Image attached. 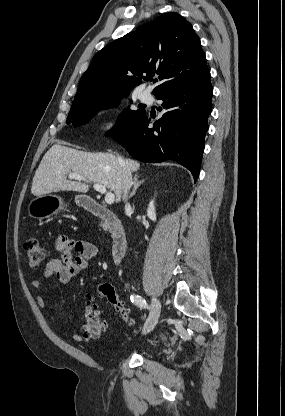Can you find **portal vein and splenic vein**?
Returning a JSON list of instances; mask_svg holds the SVG:
<instances>
[{"instance_id":"obj_1","label":"portal vein and splenic vein","mask_w":285,"mask_h":416,"mask_svg":"<svg viewBox=\"0 0 285 416\" xmlns=\"http://www.w3.org/2000/svg\"><path fill=\"white\" fill-rule=\"evenodd\" d=\"M69 180H79V182L83 180V182H87V178H84V176H80V174H69ZM93 188L94 190H96V192H100V194H106V204H114L115 196L114 194H112V192H107L105 186H100V184H94Z\"/></svg>"}]
</instances>
